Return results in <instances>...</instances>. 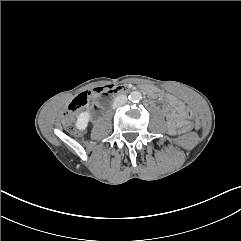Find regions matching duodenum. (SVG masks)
I'll return each instance as SVG.
<instances>
[{"label":"duodenum","mask_w":241,"mask_h":241,"mask_svg":"<svg viewBox=\"0 0 241 241\" xmlns=\"http://www.w3.org/2000/svg\"><path fill=\"white\" fill-rule=\"evenodd\" d=\"M117 89H118V90H116V91H118V92H119V91H122V89H121V88H117Z\"/></svg>","instance_id":"410a0bca"}]
</instances>
